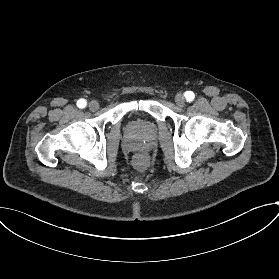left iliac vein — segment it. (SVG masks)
<instances>
[{"mask_svg": "<svg viewBox=\"0 0 279 279\" xmlns=\"http://www.w3.org/2000/svg\"><path fill=\"white\" fill-rule=\"evenodd\" d=\"M175 103L179 107L185 106V98H184V96L182 94H180V93L176 94V96H175Z\"/></svg>", "mask_w": 279, "mask_h": 279, "instance_id": "obj_1", "label": "left iliac vein"}]
</instances>
